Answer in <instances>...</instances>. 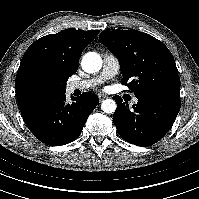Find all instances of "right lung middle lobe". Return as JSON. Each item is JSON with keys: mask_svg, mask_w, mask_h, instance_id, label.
I'll list each match as a JSON object with an SVG mask.
<instances>
[{"mask_svg": "<svg viewBox=\"0 0 199 199\" xmlns=\"http://www.w3.org/2000/svg\"><path fill=\"white\" fill-rule=\"evenodd\" d=\"M65 92V90L63 91ZM29 95L33 99H42L50 95L48 87L42 82H34L29 88Z\"/></svg>", "mask_w": 199, "mask_h": 199, "instance_id": "1", "label": "right lung middle lobe"}]
</instances>
